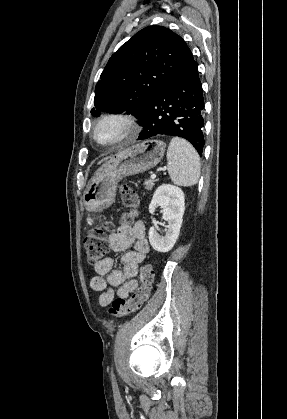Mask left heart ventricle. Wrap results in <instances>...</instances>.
Segmentation results:
<instances>
[{
  "label": "left heart ventricle",
  "instance_id": "b2bd125f",
  "mask_svg": "<svg viewBox=\"0 0 287 419\" xmlns=\"http://www.w3.org/2000/svg\"><path fill=\"white\" fill-rule=\"evenodd\" d=\"M124 133L125 129L123 126L117 123L108 122L99 127L96 136L98 140L106 143L119 138Z\"/></svg>",
  "mask_w": 287,
  "mask_h": 419
}]
</instances>
